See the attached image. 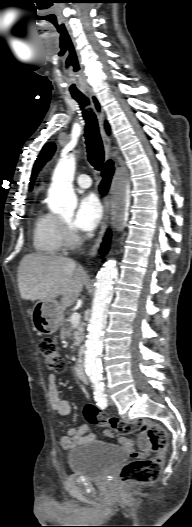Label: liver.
Masks as SVG:
<instances>
[{"instance_id": "obj_1", "label": "liver", "mask_w": 192, "mask_h": 527, "mask_svg": "<svg viewBox=\"0 0 192 527\" xmlns=\"http://www.w3.org/2000/svg\"><path fill=\"white\" fill-rule=\"evenodd\" d=\"M84 270L62 256L27 254L18 267V287L24 300H54L64 309L75 303L84 285ZM32 310L28 314L32 317Z\"/></svg>"}]
</instances>
